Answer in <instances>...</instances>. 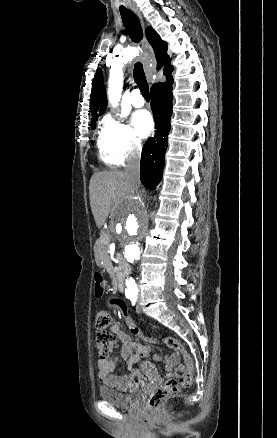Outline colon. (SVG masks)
<instances>
[{"mask_svg": "<svg viewBox=\"0 0 277 438\" xmlns=\"http://www.w3.org/2000/svg\"><path fill=\"white\" fill-rule=\"evenodd\" d=\"M94 297L99 300L104 297L107 283L104 275L101 272L94 274ZM111 316L106 310H99L96 313L94 324L97 328H101L102 331L96 333V344L99 349V357L104 359L108 356L114 348L115 336L106 331V328L110 324ZM143 340L154 344H166L170 348L179 350L186 360H189V355L183 349L181 343L174 338L167 337L164 341L158 338H151L143 336ZM193 382L192 373L188 372L179 377L177 380H164L163 386L160 389H151L150 393H145V409H160L161 403L165 402L166 398L181 392L183 389L191 386Z\"/></svg>", "mask_w": 277, "mask_h": 438, "instance_id": "1", "label": "colon"}]
</instances>
